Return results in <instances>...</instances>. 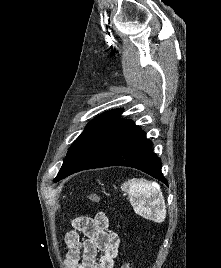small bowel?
Wrapping results in <instances>:
<instances>
[{
  "instance_id": "1",
  "label": "small bowel",
  "mask_w": 221,
  "mask_h": 268,
  "mask_svg": "<svg viewBox=\"0 0 221 268\" xmlns=\"http://www.w3.org/2000/svg\"><path fill=\"white\" fill-rule=\"evenodd\" d=\"M73 230L65 236L67 268H113L120 238L110 227L108 216H78L71 222ZM83 236V238H82Z\"/></svg>"
}]
</instances>
